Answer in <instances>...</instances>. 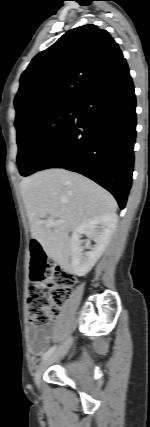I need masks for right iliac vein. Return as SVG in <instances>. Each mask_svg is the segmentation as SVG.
<instances>
[{"mask_svg": "<svg viewBox=\"0 0 150 427\" xmlns=\"http://www.w3.org/2000/svg\"><path fill=\"white\" fill-rule=\"evenodd\" d=\"M72 337L68 338L62 346H60L48 359H46L38 368L36 375H35V381L38 386L41 384V376L43 372L46 370V368L52 364L53 362L61 359L64 357V355L67 353L68 349L70 348L72 344Z\"/></svg>", "mask_w": 150, "mask_h": 427, "instance_id": "63e3f726", "label": "right iliac vein"}]
</instances>
